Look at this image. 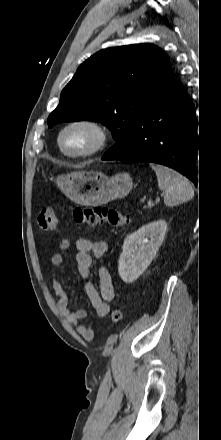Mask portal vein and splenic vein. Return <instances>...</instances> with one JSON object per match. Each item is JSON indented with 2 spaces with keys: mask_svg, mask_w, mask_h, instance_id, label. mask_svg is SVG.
<instances>
[{
  "mask_svg": "<svg viewBox=\"0 0 221 440\" xmlns=\"http://www.w3.org/2000/svg\"><path fill=\"white\" fill-rule=\"evenodd\" d=\"M156 201H157V202H159V201H160V198H159V197H157V198H156Z\"/></svg>",
  "mask_w": 221,
  "mask_h": 440,
  "instance_id": "portal-vein-and-splenic-vein-1",
  "label": "portal vein and splenic vein"
}]
</instances>
